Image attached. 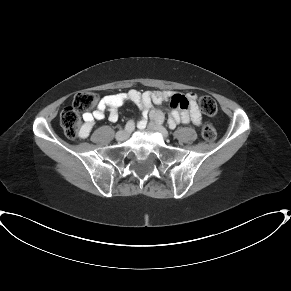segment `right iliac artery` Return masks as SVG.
<instances>
[{"label": "right iliac artery", "instance_id": "obj_1", "mask_svg": "<svg viewBox=\"0 0 291 291\" xmlns=\"http://www.w3.org/2000/svg\"><path fill=\"white\" fill-rule=\"evenodd\" d=\"M134 125L135 123L132 120L128 121L125 125V130L128 132L132 131L135 127Z\"/></svg>", "mask_w": 291, "mask_h": 291}]
</instances>
